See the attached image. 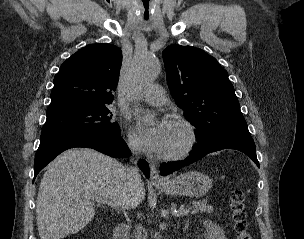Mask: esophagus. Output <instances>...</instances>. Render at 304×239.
<instances>
[{"label":"esophagus","instance_id":"1","mask_svg":"<svg viewBox=\"0 0 304 239\" xmlns=\"http://www.w3.org/2000/svg\"><path fill=\"white\" fill-rule=\"evenodd\" d=\"M150 181L153 184H163L165 182L154 164H150Z\"/></svg>","mask_w":304,"mask_h":239}]
</instances>
